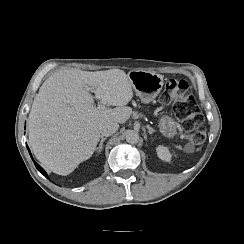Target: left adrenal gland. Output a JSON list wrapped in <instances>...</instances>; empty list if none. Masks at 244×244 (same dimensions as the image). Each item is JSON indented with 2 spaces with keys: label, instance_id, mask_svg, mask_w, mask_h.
Here are the masks:
<instances>
[{
  "label": "left adrenal gland",
  "instance_id": "obj_1",
  "mask_svg": "<svg viewBox=\"0 0 244 244\" xmlns=\"http://www.w3.org/2000/svg\"><path fill=\"white\" fill-rule=\"evenodd\" d=\"M154 133V131L153 130H151V129H149V135H150V137L152 138V134Z\"/></svg>",
  "mask_w": 244,
  "mask_h": 244
}]
</instances>
